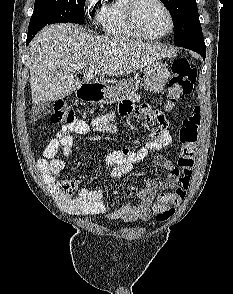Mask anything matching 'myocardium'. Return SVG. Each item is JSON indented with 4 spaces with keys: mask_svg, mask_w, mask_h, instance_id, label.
<instances>
[{
    "mask_svg": "<svg viewBox=\"0 0 233 294\" xmlns=\"http://www.w3.org/2000/svg\"><path fill=\"white\" fill-rule=\"evenodd\" d=\"M153 1L158 3L162 7V9L165 11V13L168 17L169 27L165 32L158 34V35H152V34H148L147 32H145L143 30V28L141 27L140 22H139L138 13H139L140 6L142 5L143 2H145V0H129L127 15H128V21H129L131 28L139 36H141L142 38H145V39L157 40V39H161V38L168 36L173 31L174 18H173V14H172L171 10L169 9L167 4L163 0H153Z\"/></svg>",
    "mask_w": 233,
    "mask_h": 294,
    "instance_id": "1",
    "label": "myocardium"
}]
</instances>
